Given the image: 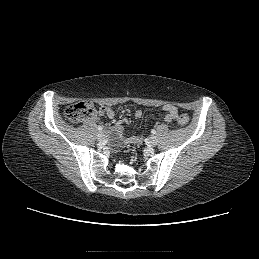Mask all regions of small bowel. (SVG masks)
<instances>
[{
  "label": "small bowel",
  "instance_id": "small-bowel-1",
  "mask_svg": "<svg viewBox=\"0 0 259 259\" xmlns=\"http://www.w3.org/2000/svg\"><path fill=\"white\" fill-rule=\"evenodd\" d=\"M163 111H164V119L167 122H171L177 118L178 110L177 108L172 104H164L163 105ZM100 114H105L108 118L112 119L115 117V111L108 106H102L99 109ZM136 118H141L143 115L142 110L138 109L134 113ZM113 133L117 137L119 142H122L124 144H132V143H140L142 141V137H132L128 136L121 125L117 124L112 129Z\"/></svg>",
  "mask_w": 259,
  "mask_h": 259
}]
</instances>
